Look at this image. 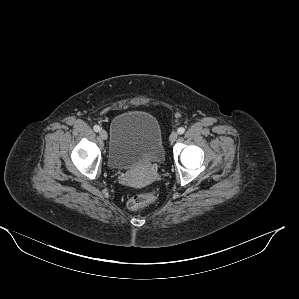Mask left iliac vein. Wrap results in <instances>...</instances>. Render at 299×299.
Masks as SVG:
<instances>
[{
    "label": "left iliac vein",
    "mask_w": 299,
    "mask_h": 299,
    "mask_svg": "<svg viewBox=\"0 0 299 299\" xmlns=\"http://www.w3.org/2000/svg\"><path fill=\"white\" fill-rule=\"evenodd\" d=\"M178 138V134L176 132L171 133L169 139L171 142L176 141V139Z\"/></svg>",
    "instance_id": "left-iliac-vein-1"
}]
</instances>
